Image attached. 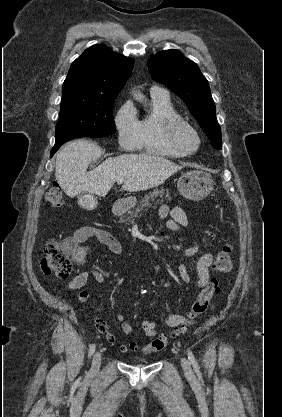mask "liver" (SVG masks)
<instances>
[{"label":"liver","mask_w":282,"mask_h":417,"mask_svg":"<svg viewBox=\"0 0 282 417\" xmlns=\"http://www.w3.org/2000/svg\"><path fill=\"white\" fill-rule=\"evenodd\" d=\"M100 154L99 146L86 138L72 140L58 152L55 176L59 186L68 196H75L80 192L106 196L118 178L124 180L122 190H147L163 184L166 178L182 168L180 164H175L164 156L119 154L109 156L99 166L87 172L90 162Z\"/></svg>","instance_id":"6515ba94"}]
</instances>
